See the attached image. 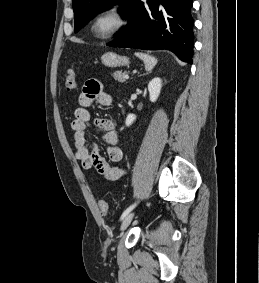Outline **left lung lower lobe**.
I'll return each mask as SVG.
<instances>
[{
  "mask_svg": "<svg viewBox=\"0 0 259 283\" xmlns=\"http://www.w3.org/2000/svg\"><path fill=\"white\" fill-rule=\"evenodd\" d=\"M192 0H136L129 24L109 44L111 47L168 49L192 63Z\"/></svg>",
  "mask_w": 259,
  "mask_h": 283,
  "instance_id": "0a47b994",
  "label": "left lung lower lobe"
}]
</instances>
